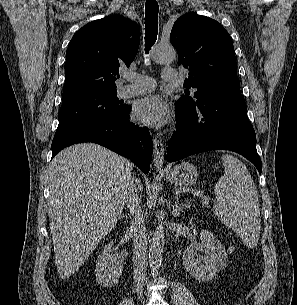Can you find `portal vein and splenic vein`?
I'll use <instances>...</instances> for the list:
<instances>
[{"label":"portal vein and splenic vein","mask_w":297,"mask_h":305,"mask_svg":"<svg viewBox=\"0 0 297 305\" xmlns=\"http://www.w3.org/2000/svg\"><path fill=\"white\" fill-rule=\"evenodd\" d=\"M195 194H196L197 196H200L201 198H203V200H204L205 202H207V197L204 196V193H203V192L197 191Z\"/></svg>","instance_id":"1"}]
</instances>
